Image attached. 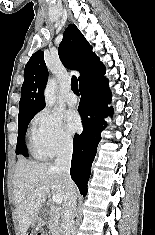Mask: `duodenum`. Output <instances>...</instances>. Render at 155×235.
I'll use <instances>...</instances> for the list:
<instances>
[{
	"label": "duodenum",
	"instance_id": "1",
	"mask_svg": "<svg viewBox=\"0 0 155 235\" xmlns=\"http://www.w3.org/2000/svg\"><path fill=\"white\" fill-rule=\"evenodd\" d=\"M44 212H45V214H51V213H56V212H58V209H56V208H54V207H46L45 209H44Z\"/></svg>",
	"mask_w": 155,
	"mask_h": 235
}]
</instances>
